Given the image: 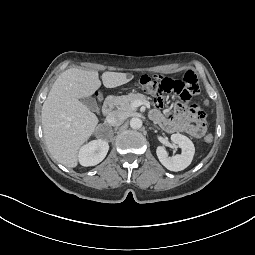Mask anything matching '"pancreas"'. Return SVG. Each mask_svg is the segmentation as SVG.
Returning a JSON list of instances; mask_svg holds the SVG:
<instances>
[{"label": "pancreas", "mask_w": 255, "mask_h": 255, "mask_svg": "<svg viewBox=\"0 0 255 255\" xmlns=\"http://www.w3.org/2000/svg\"><path fill=\"white\" fill-rule=\"evenodd\" d=\"M140 100L143 102H148L147 98L143 94H134L130 93L128 95L117 96L114 98L115 106L123 112H132L135 110V107L132 106L133 102Z\"/></svg>", "instance_id": "pancreas-1"}]
</instances>
